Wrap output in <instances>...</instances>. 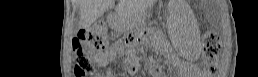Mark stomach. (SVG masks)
<instances>
[{"label":"stomach","mask_w":258,"mask_h":77,"mask_svg":"<svg viewBox=\"0 0 258 77\" xmlns=\"http://www.w3.org/2000/svg\"><path fill=\"white\" fill-rule=\"evenodd\" d=\"M129 25V20L126 18H123L122 20V27H127Z\"/></svg>","instance_id":"stomach-1"}]
</instances>
